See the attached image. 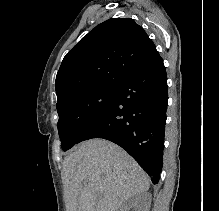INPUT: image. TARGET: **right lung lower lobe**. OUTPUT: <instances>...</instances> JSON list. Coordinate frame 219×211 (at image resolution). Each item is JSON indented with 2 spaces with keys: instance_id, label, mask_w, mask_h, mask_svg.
Wrapping results in <instances>:
<instances>
[{
  "instance_id": "obj_1",
  "label": "right lung lower lobe",
  "mask_w": 219,
  "mask_h": 211,
  "mask_svg": "<svg viewBox=\"0 0 219 211\" xmlns=\"http://www.w3.org/2000/svg\"><path fill=\"white\" fill-rule=\"evenodd\" d=\"M109 106L85 129L77 143L103 138L124 148L157 184L162 169L167 77L159 56L115 86Z\"/></svg>"
}]
</instances>
